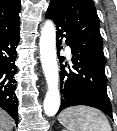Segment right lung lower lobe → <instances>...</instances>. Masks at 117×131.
I'll return each instance as SVG.
<instances>
[{
    "label": "right lung lower lobe",
    "instance_id": "right-lung-lower-lobe-1",
    "mask_svg": "<svg viewBox=\"0 0 117 131\" xmlns=\"http://www.w3.org/2000/svg\"><path fill=\"white\" fill-rule=\"evenodd\" d=\"M20 31L0 40V107L18 121L17 98L14 93L17 72L15 60L17 57L16 47L19 43Z\"/></svg>",
    "mask_w": 117,
    "mask_h": 131
}]
</instances>
